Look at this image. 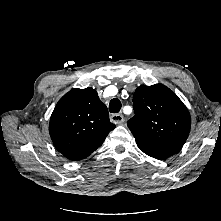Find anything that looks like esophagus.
<instances>
[{
    "label": "esophagus",
    "instance_id": "esophagus-1",
    "mask_svg": "<svg viewBox=\"0 0 221 221\" xmlns=\"http://www.w3.org/2000/svg\"><path fill=\"white\" fill-rule=\"evenodd\" d=\"M112 123L119 125L122 124L124 121V116L122 114H113L110 117Z\"/></svg>",
    "mask_w": 221,
    "mask_h": 221
}]
</instances>
